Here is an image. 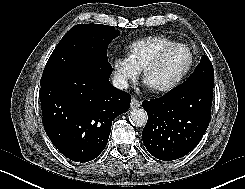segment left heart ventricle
I'll use <instances>...</instances> for the list:
<instances>
[{
    "mask_svg": "<svg viewBox=\"0 0 245 189\" xmlns=\"http://www.w3.org/2000/svg\"><path fill=\"white\" fill-rule=\"evenodd\" d=\"M188 63L189 52L187 49H173L147 74L144 82L152 89L168 85L180 76Z\"/></svg>",
    "mask_w": 245,
    "mask_h": 189,
    "instance_id": "1",
    "label": "left heart ventricle"
}]
</instances>
